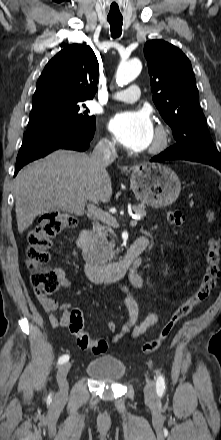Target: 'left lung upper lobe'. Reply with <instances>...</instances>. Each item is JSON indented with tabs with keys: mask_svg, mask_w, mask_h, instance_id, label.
Instances as JSON below:
<instances>
[{
	"mask_svg": "<svg viewBox=\"0 0 221 440\" xmlns=\"http://www.w3.org/2000/svg\"><path fill=\"white\" fill-rule=\"evenodd\" d=\"M144 55L153 101L177 141L167 151L186 160L221 163L199 105L189 59L177 47L158 39L145 44Z\"/></svg>",
	"mask_w": 221,
	"mask_h": 440,
	"instance_id": "left-lung-upper-lobe-1",
	"label": "left lung upper lobe"
}]
</instances>
